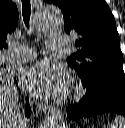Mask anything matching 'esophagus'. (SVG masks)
I'll return each mask as SVG.
<instances>
[{
  "label": "esophagus",
  "instance_id": "1",
  "mask_svg": "<svg viewBox=\"0 0 125 128\" xmlns=\"http://www.w3.org/2000/svg\"><path fill=\"white\" fill-rule=\"evenodd\" d=\"M36 107L38 110L44 111V112H46L50 108L49 105L40 103V102H36Z\"/></svg>",
  "mask_w": 125,
  "mask_h": 128
}]
</instances>
